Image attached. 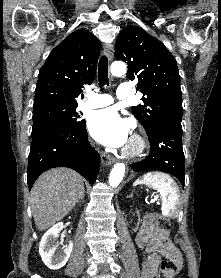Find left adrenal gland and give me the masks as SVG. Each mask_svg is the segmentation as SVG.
Returning <instances> with one entry per match:
<instances>
[{
  "instance_id": "obj_1",
  "label": "left adrenal gland",
  "mask_w": 221,
  "mask_h": 278,
  "mask_svg": "<svg viewBox=\"0 0 221 278\" xmlns=\"http://www.w3.org/2000/svg\"><path fill=\"white\" fill-rule=\"evenodd\" d=\"M133 194L131 193L130 195H127V198H132Z\"/></svg>"
}]
</instances>
